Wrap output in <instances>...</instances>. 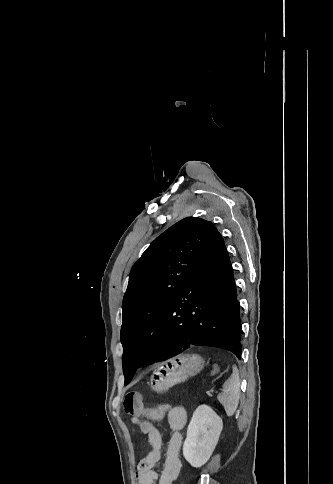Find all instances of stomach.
I'll return each mask as SVG.
<instances>
[{
  "mask_svg": "<svg viewBox=\"0 0 333 484\" xmlns=\"http://www.w3.org/2000/svg\"><path fill=\"white\" fill-rule=\"evenodd\" d=\"M203 366L204 360L200 355L180 354L154 368L151 375V388L158 394H164L174 385L198 374Z\"/></svg>",
  "mask_w": 333,
  "mask_h": 484,
  "instance_id": "0dacf381",
  "label": "stomach"
}]
</instances>
